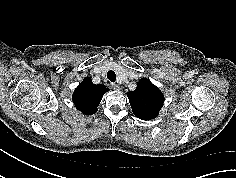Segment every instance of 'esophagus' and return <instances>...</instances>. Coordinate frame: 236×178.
Wrapping results in <instances>:
<instances>
[{
    "label": "esophagus",
    "instance_id": "esophagus-1",
    "mask_svg": "<svg viewBox=\"0 0 236 178\" xmlns=\"http://www.w3.org/2000/svg\"><path fill=\"white\" fill-rule=\"evenodd\" d=\"M111 87H112L113 90H115V91H119V90H120V86H119L118 84H116V83H112V84H111Z\"/></svg>",
    "mask_w": 236,
    "mask_h": 178
}]
</instances>
